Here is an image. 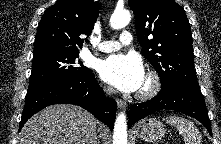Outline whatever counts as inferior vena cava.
Here are the masks:
<instances>
[{"label": "inferior vena cava", "instance_id": "602c4592", "mask_svg": "<svg viewBox=\"0 0 221 144\" xmlns=\"http://www.w3.org/2000/svg\"><path fill=\"white\" fill-rule=\"evenodd\" d=\"M105 92H106V95H111L112 93L115 92V90L112 89L111 87H108V88L105 89ZM96 141H97L96 140V135H94L93 144H95Z\"/></svg>", "mask_w": 221, "mask_h": 144}]
</instances>
